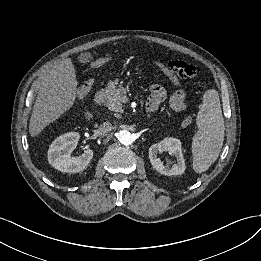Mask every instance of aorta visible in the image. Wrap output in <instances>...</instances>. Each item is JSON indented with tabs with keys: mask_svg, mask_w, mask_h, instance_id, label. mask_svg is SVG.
Listing matches in <instances>:
<instances>
[{
	"mask_svg": "<svg viewBox=\"0 0 261 261\" xmlns=\"http://www.w3.org/2000/svg\"><path fill=\"white\" fill-rule=\"evenodd\" d=\"M118 140L123 145H130L133 142L132 134L127 130H121L118 133Z\"/></svg>",
	"mask_w": 261,
	"mask_h": 261,
	"instance_id": "obj_1",
	"label": "aorta"
}]
</instances>
